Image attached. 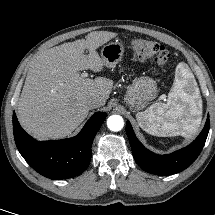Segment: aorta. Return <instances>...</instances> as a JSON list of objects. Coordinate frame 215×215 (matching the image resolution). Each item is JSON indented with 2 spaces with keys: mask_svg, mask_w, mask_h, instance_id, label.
Wrapping results in <instances>:
<instances>
[{
  "mask_svg": "<svg viewBox=\"0 0 215 215\" xmlns=\"http://www.w3.org/2000/svg\"><path fill=\"white\" fill-rule=\"evenodd\" d=\"M124 121L119 115H112L107 120V126L111 131L117 132L123 128Z\"/></svg>",
  "mask_w": 215,
  "mask_h": 215,
  "instance_id": "762f6f07",
  "label": "aorta"
}]
</instances>
